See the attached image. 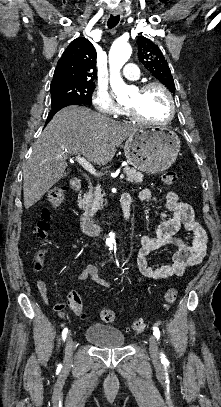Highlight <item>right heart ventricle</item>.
<instances>
[{"label": "right heart ventricle", "mask_w": 221, "mask_h": 407, "mask_svg": "<svg viewBox=\"0 0 221 407\" xmlns=\"http://www.w3.org/2000/svg\"><path fill=\"white\" fill-rule=\"evenodd\" d=\"M121 114H126V111L124 109L121 110Z\"/></svg>", "instance_id": "e07e8e85"}]
</instances>
